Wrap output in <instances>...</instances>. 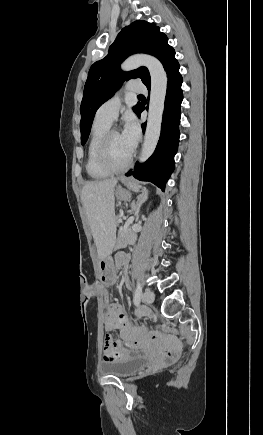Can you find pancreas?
<instances>
[{"instance_id":"obj_1","label":"pancreas","mask_w":263,"mask_h":435,"mask_svg":"<svg viewBox=\"0 0 263 435\" xmlns=\"http://www.w3.org/2000/svg\"><path fill=\"white\" fill-rule=\"evenodd\" d=\"M136 235L133 233L131 227H128L127 230H124V227L120 228L118 231V238L116 249L124 248L127 244H130L134 241Z\"/></svg>"}]
</instances>
